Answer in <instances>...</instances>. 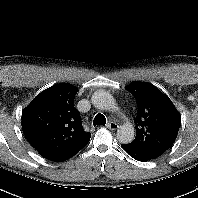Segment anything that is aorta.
<instances>
[{
    "label": "aorta",
    "instance_id": "aorta-1",
    "mask_svg": "<svg viewBox=\"0 0 198 198\" xmlns=\"http://www.w3.org/2000/svg\"><path fill=\"white\" fill-rule=\"evenodd\" d=\"M92 104L100 110L115 108V100L111 94L105 91H96L92 96ZM135 137V130L131 124H124L117 130V139L124 144L131 143Z\"/></svg>",
    "mask_w": 198,
    "mask_h": 198
}]
</instances>
